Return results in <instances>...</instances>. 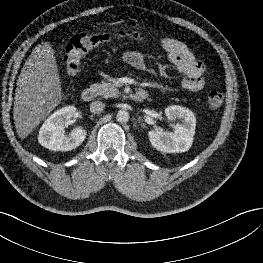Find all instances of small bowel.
I'll list each match as a JSON object with an SVG mask.
<instances>
[{"instance_id": "c3829d8e", "label": "small bowel", "mask_w": 263, "mask_h": 263, "mask_svg": "<svg viewBox=\"0 0 263 263\" xmlns=\"http://www.w3.org/2000/svg\"><path fill=\"white\" fill-rule=\"evenodd\" d=\"M160 46L167 52L169 61L175 66L176 72L184 77L182 87L189 92H199L205 82L202 77L204 64L196 59L188 47L180 40L163 38ZM123 60L130 66L155 74L156 71L148 66L145 57L137 51H127L123 54Z\"/></svg>"}]
</instances>
